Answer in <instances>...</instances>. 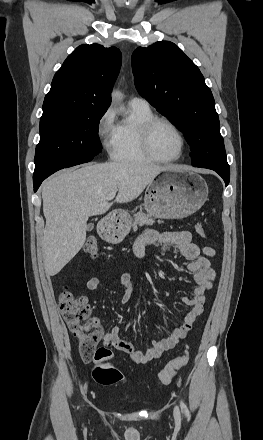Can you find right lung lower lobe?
Instances as JSON below:
<instances>
[{
    "label": "right lung lower lobe",
    "mask_w": 263,
    "mask_h": 440,
    "mask_svg": "<svg viewBox=\"0 0 263 440\" xmlns=\"http://www.w3.org/2000/svg\"><path fill=\"white\" fill-rule=\"evenodd\" d=\"M93 157H94V156L87 155L86 158L84 159V162H83V163L91 161V160L93 159ZM47 177H48V176H44V177H41V178H38V179L33 180V183H34V191H35V192L37 191V189H38L39 186L41 185L42 181H43L45 178H47Z\"/></svg>",
    "instance_id": "1"
}]
</instances>
